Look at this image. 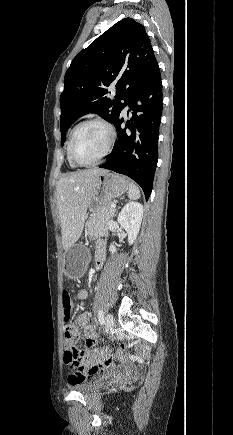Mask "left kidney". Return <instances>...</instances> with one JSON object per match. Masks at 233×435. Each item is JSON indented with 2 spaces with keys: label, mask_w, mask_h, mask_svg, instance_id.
Wrapping results in <instances>:
<instances>
[{
  "label": "left kidney",
  "mask_w": 233,
  "mask_h": 435,
  "mask_svg": "<svg viewBox=\"0 0 233 435\" xmlns=\"http://www.w3.org/2000/svg\"><path fill=\"white\" fill-rule=\"evenodd\" d=\"M143 216V206L139 202H128L118 215V223L128 234V243L131 245L136 240ZM116 247L111 244L109 251L113 254Z\"/></svg>",
  "instance_id": "5707ae66"
}]
</instances>
